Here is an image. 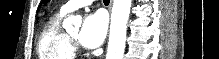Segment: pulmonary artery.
Listing matches in <instances>:
<instances>
[{"mask_svg":"<svg viewBox=\"0 0 219 59\" xmlns=\"http://www.w3.org/2000/svg\"><path fill=\"white\" fill-rule=\"evenodd\" d=\"M92 3V0H73V1H68L65 3L61 8L60 12L63 14H67L69 12H72L80 7L89 5Z\"/></svg>","mask_w":219,"mask_h":59,"instance_id":"1","label":"pulmonary artery"}]
</instances>
